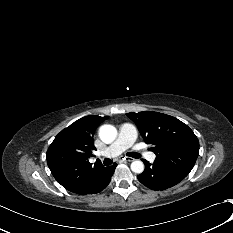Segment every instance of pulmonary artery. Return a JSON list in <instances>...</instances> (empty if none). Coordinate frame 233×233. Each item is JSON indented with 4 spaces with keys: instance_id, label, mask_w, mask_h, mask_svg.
Here are the masks:
<instances>
[{
    "instance_id": "1",
    "label": "pulmonary artery",
    "mask_w": 233,
    "mask_h": 233,
    "mask_svg": "<svg viewBox=\"0 0 233 233\" xmlns=\"http://www.w3.org/2000/svg\"><path fill=\"white\" fill-rule=\"evenodd\" d=\"M136 139L137 130L135 126L131 123L122 124L117 140L105 150L103 156L116 157L120 155L128 148L133 147ZM145 156L150 161L155 159L153 153H146Z\"/></svg>"
}]
</instances>
